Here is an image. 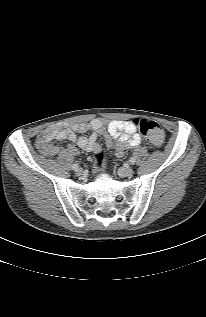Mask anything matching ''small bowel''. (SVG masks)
I'll return each mask as SVG.
<instances>
[{"label":"small bowel","instance_id":"c3829d8e","mask_svg":"<svg viewBox=\"0 0 206 317\" xmlns=\"http://www.w3.org/2000/svg\"><path fill=\"white\" fill-rule=\"evenodd\" d=\"M91 131L90 136L78 135ZM103 136L108 147L115 150L117 157H122L128 148H134L142 143V137L137 133V128L132 121L112 120L105 121L100 118L93 119L89 123H76L61 129L58 127H47L38 135L42 148L50 153L57 154L60 147L52 141L70 140L86 151L98 152L100 145L98 138ZM72 155L78 153L75 146L67 148Z\"/></svg>","mask_w":206,"mask_h":317}]
</instances>
